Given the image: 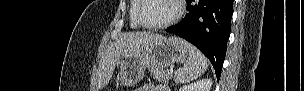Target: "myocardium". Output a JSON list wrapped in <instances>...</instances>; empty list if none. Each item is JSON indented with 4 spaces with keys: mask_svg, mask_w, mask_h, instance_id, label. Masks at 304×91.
Returning a JSON list of instances; mask_svg holds the SVG:
<instances>
[{
    "mask_svg": "<svg viewBox=\"0 0 304 91\" xmlns=\"http://www.w3.org/2000/svg\"><path fill=\"white\" fill-rule=\"evenodd\" d=\"M173 1L176 5V12L172 18L159 24H148L142 19V15H141L145 0H137L138 5L136 8V19L138 23L144 28L153 29V30L168 28L176 24L181 20V18L185 13V1L184 0H173Z\"/></svg>",
    "mask_w": 304,
    "mask_h": 91,
    "instance_id": "f54148a6",
    "label": "myocardium"
}]
</instances>
